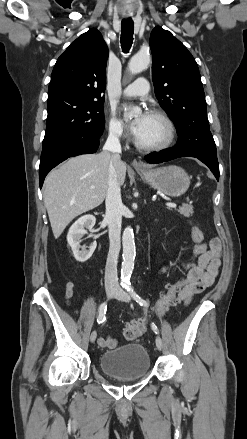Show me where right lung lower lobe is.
<instances>
[{"label": "right lung lower lobe", "instance_id": "98d812e1", "mask_svg": "<svg viewBox=\"0 0 247 439\" xmlns=\"http://www.w3.org/2000/svg\"><path fill=\"white\" fill-rule=\"evenodd\" d=\"M99 138H77L43 148L39 166L40 188L50 170L62 161L81 154L95 153L99 147Z\"/></svg>", "mask_w": 247, "mask_h": 439}]
</instances>
